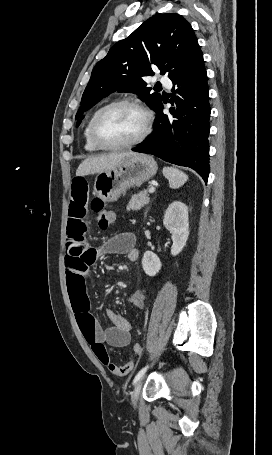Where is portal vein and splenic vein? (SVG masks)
<instances>
[{
    "label": "portal vein and splenic vein",
    "instance_id": "portal-vein-and-splenic-vein-1",
    "mask_svg": "<svg viewBox=\"0 0 272 455\" xmlns=\"http://www.w3.org/2000/svg\"><path fill=\"white\" fill-rule=\"evenodd\" d=\"M154 192H155V187H153V186L150 187V188H149V193H154Z\"/></svg>",
    "mask_w": 272,
    "mask_h": 455
}]
</instances>
